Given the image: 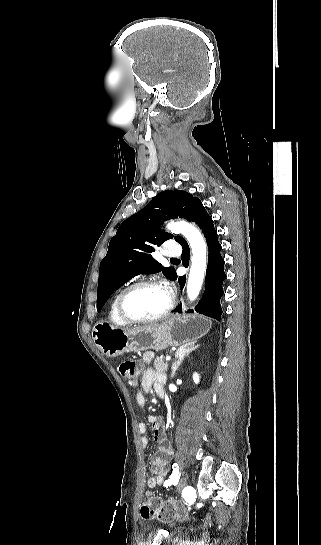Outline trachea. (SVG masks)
<instances>
[{
    "label": "trachea",
    "instance_id": "1",
    "mask_svg": "<svg viewBox=\"0 0 321 545\" xmlns=\"http://www.w3.org/2000/svg\"><path fill=\"white\" fill-rule=\"evenodd\" d=\"M170 261H171V262L179 261V259H178V258H171Z\"/></svg>",
    "mask_w": 321,
    "mask_h": 545
}]
</instances>
